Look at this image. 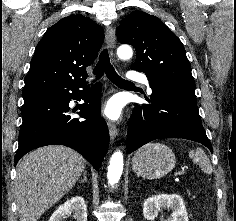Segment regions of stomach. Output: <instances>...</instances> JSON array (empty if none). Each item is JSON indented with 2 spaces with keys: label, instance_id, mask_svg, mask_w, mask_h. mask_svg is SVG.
I'll return each instance as SVG.
<instances>
[{
  "label": "stomach",
  "instance_id": "obj_1",
  "mask_svg": "<svg viewBox=\"0 0 236 221\" xmlns=\"http://www.w3.org/2000/svg\"><path fill=\"white\" fill-rule=\"evenodd\" d=\"M175 163V155L168 146L149 143L135 152L132 158V169L137 176L157 179L168 174Z\"/></svg>",
  "mask_w": 236,
  "mask_h": 221
}]
</instances>
